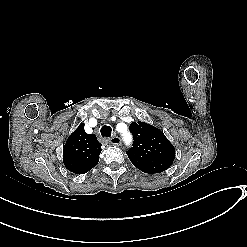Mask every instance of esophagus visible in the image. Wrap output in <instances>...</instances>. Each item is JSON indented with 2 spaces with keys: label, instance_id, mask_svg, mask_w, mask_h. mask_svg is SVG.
<instances>
[{
  "label": "esophagus",
  "instance_id": "obj_1",
  "mask_svg": "<svg viewBox=\"0 0 247 247\" xmlns=\"http://www.w3.org/2000/svg\"><path fill=\"white\" fill-rule=\"evenodd\" d=\"M112 145H120L122 143L121 138L115 136L110 139Z\"/></svg>",
  "mask_w": 247,
  "mask_h": 247
}]
</instances>
